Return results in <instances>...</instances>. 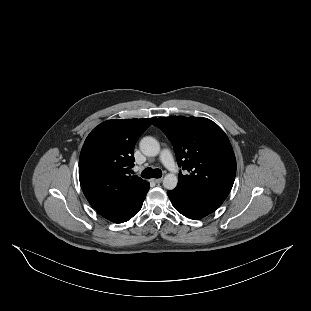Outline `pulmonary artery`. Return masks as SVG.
Wrapping results in <instances>:
<instances>
[{
	"label": "pulmonary artery",
	"instance_id": "e3ab8cb5",
	"mask_svg": "<svg viewBox=\"0 0 311 311\" xmlns=\"http://www.w3.org/2000/svg\"><path fill=\"white\" fill-rule=\"evenodd\" d=\"M159 160L167 168H170L172 170L175 169L174 158L170 149L168 148L163 149L159 156Z\"/></svg>",
	"mask_w": 311,
	"mask_h": 311
}]
</instances>
